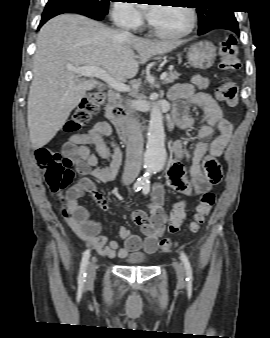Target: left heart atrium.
<instances>
[{"mask_svg": "<svg viewBox=\"0 0 270 338\" xmlns=\"http://www.w3.org/2000/svg\"><path fill=\"white\" fill-rule=\"evenodd\" d=\"M156 9H157V8H153L152 10L149 11V13H148V18H149L150 20H152V19L154 18Z\"/></svg>", "mask_w": 270, "mask_h": 338, "instance_id": "1", "label": "left heart atrium"}]
</instances>
